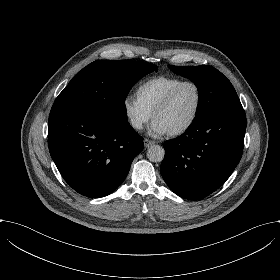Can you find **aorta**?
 <instances>
[{
	"label": "aorta",
	"instance_id": "aorta-1",
	"mask_svg": "<svg viewBox=\"0 0 280 280\" xmlns=\"http://www.w3.org/2000/svg\"><path fill=\"white\" fill-rule=\"evenodd\" d=\"M164 155L165 151L160 145H152L147 150V157L151 162H161Z\"/></svg>",
	"mask_w": 280,
	"mask_h": 280
}]
</instances>
